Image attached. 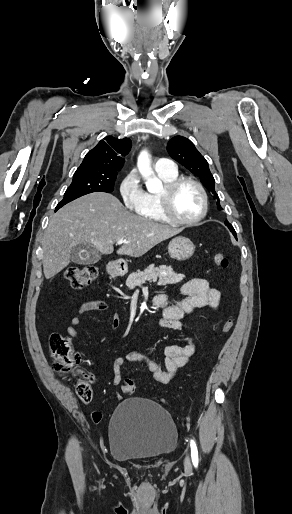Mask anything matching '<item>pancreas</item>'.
<instances>
[{
	"mask_svg": "<svg viewBox=\"0 0 292 514\" xmlns=\"http://www.w3.org/2000/svg\"><path fill=\"white\" fill-rule=\"evenodd\" d=\"M165 272V274H163ZM185 278L184 274H175L171 266H160L154 268V264L145 268L143 272L137 270L133 274H129L126 280V286L129 290H134L135 286H141L145 282H157V286H167V284H178Z\"/></svg>",
	"mask_w": 292,
	"mask_h": 514,
	"instance_id": "pancreas-1",
	"label": "pancreas"
}]
</instances>
